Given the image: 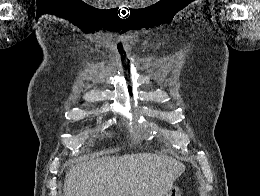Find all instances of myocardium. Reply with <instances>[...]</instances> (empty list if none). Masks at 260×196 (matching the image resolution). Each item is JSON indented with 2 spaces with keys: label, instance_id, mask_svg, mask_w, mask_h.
Here are the masks:
<instances>
[{
  "label": "myocardium",
  "instance_id": "obj_1",
  "mask_svg": "<svg viewBox=\"0 0 260 196\" xmlns=\"http://www.w3.org/2000/svg\"><path fill=\"white\" fill-rule=\"evenodd\" d=\"M88 192H115V190H88Z\"/></svg>",
  "mask_w": 260,
  "mask_h": 196
}]
</instances>
